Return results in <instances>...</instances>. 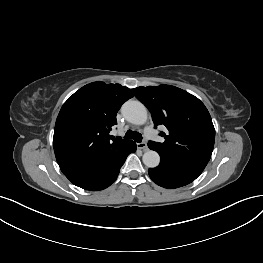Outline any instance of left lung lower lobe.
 <instances>
[{
	"label": "left lung lower lobe",
	"mask_w": 263,
	"mask_h": 263,
	"mask_svg": "<svg viewBox=\"0 0 263 263\" xmlns=\"http://www.w3.org/2000/svg\"><path fill=\"white\" fill-rule=\"evenodd\" d=\"M150 178L159 186L174 189L194 181L202 171L177 166L164 160L159 166L148 170Z\"/></svg>",
	"instance_id": "left-lung-lower-lobe-1"
}]
</instances>
